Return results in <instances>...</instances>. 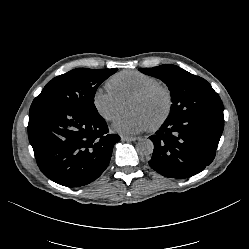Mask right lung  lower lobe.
I'll return each instance as SVG.
<instances>
[{"instance_id": "98d812e1", "label": "right lung lower lobe", "mask_w": 249, "mask_h": 249, "mask_svg": "<svg viewBox=\"0 0 249 249\" xmlns=\"http://www.w3.org/2000/svg\"><path fill=\"white\" fill-rule=\"evenodd\" d=\"M108 132L98 112L47 107L29 113L28 137L40 170L68 187L89 184L107 168L120 140Z\"/></svg>"}]
</instances>
